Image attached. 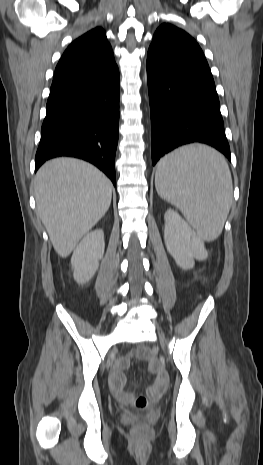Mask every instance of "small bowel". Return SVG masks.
<instances>
[{"label": "small bowel", "mask_w": 263, "mask_h": 465, "mask_svg": "<svg viewBox=\"0 0 263 465\" xmlns=\"http://www.w3.org/2000/svg\"><path fill=\"white\" fill-rule=\"evenodd\" d=\"M130 363V356L119 358L110 375L109 383L110 388L116 398L122 402H128L133 399V395L125 391L126 377L124 371L128 368ZM156 377L152 386L148 389L149 395L159 392L162 393L166 387L167 376L164 371L155 369Z\"/></svg>", "instance_id": "small-bowel-1"}]
</instances>
